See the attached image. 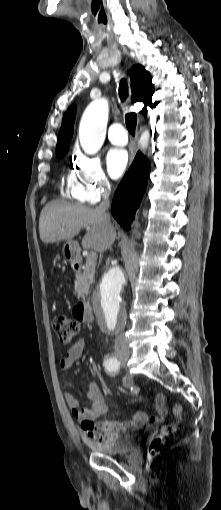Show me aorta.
Instances as JSON below:
<instances>
[{
    "instance_id": "1",
    "label": "aorta",
    "mask_w": 221,
    "mask_h": 510,
    "mask_svg": "<svg viewBox=\"0 0 221 510\" xmlns=\"http://www.w3.org/2000/svg\"><path fill=\"white\" fill-rule=\"evenodd\" d=\"M109 107L105 99L89 104L79 126V139L87 154L97 153L103 145L108 122ZM126 279L119 266L110 268L102 277L94 293L95 311L108 331H115L124 322L125 307L122 292Z\"/></svg>"
}]
</instances>
